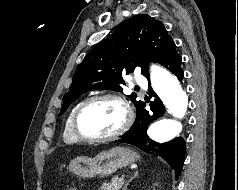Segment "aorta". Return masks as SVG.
Instances as JSON below:
<instances>
[{
	"mask_svg": "<svg viewBox=\"0 0 238 190\" xmlns=\"http://www.w3.org/2000/svg\"><path fill=\"white\" fill-rule=\"evenodd\" d=\"M151 83L172 118H160L148 130L149 137L158 143L173 140L181 131L182 124L178 119L184 117L188 96L177 77L157 65L151 66Z\"/></svg>",
	"mask_w": 238,
	"mask_h": 190,
	"instance_id": "obj_1",
	"label": "aorta"
}]
</instances>
